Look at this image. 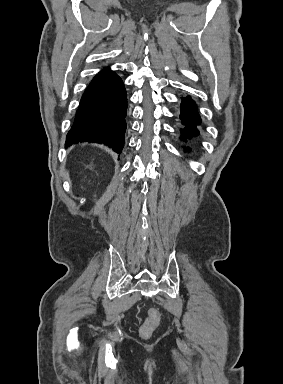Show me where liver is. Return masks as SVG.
<instances>
[{
	"label": "liver",
	"mask_w": 283,
	"mask_h": 384,
	"mask_svg": "<svg viewBox=\"0 0 283 384\" xmlns=\"http://www.w3.org/2000/svg\"><path fill=\"white\" fill-rule=\"evenodd\" d=\"M72 148H74V146H71L70 150H72Z\"/></svg>",
	"instance_id": "1"
}]
</instances>
